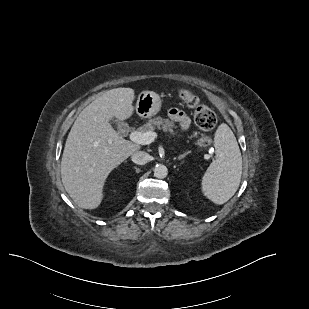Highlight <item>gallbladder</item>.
Here are the masks:
<instances>
[{
	"mask_svg": "<svg viewBox=\"0 0 309 309\" xmlns=\"http://www.w3.org/2000/svg\"><path fill=\"white\" fill-rule=\"evenodd\" d=\"M116 127L118 130H125L127 129L128 125L122 121H117L116 122Z\"/></svg>",
	"mask_w": 309,
	"mask_h": 309,
	"instance_id": "gallbladder-1",
	"label": "gallbladder"
}]
</instances>
